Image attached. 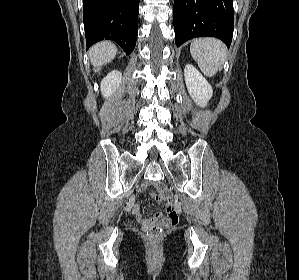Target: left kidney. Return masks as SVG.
<instances>
[{"instance_id": "left-kidney-1", "label": "left kidney", "mask_w": 299, "mask_h": 280, "mask_svg": "<svg viewBox=\"0 0 299 280\" xmlns=\"http://www.w3.org/2000/svg\"><path fill=\"white\" fill-rule=\"evenodd\" d=\"M187 90L192 99L199 106H206L213 95V90L208 81L193 66L186 65L184 69Z\"/></svg>"}]
</instances>
